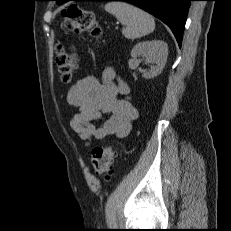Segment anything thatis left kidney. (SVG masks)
Instances as JSON below:
<instances>
[{"mask_svg":"<svg viewBox=\"0 0 231 231\" xmlns=\"http://www.w3.org/2000/svg\"><path fill=\"white\" fill-rule=\"evenodd\" d=\"M131 56L133 58L143 56L156 64L148 72L143 73L144 78L151 79L159 75L165 67L168 56V45L161 40L140 42L133 47Z\"/></svg>","mask_w":231,"mask_h":231,"instance_id":"1","label":"left kidney"}]
</instances>
